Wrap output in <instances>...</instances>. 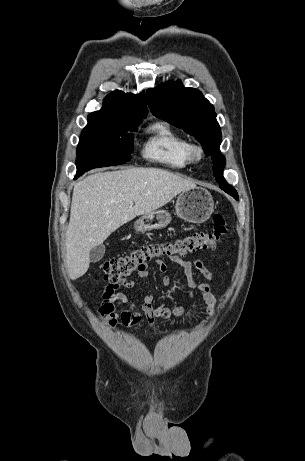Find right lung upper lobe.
<instances>
[{
    "label": "right lung upper lobe",
    "instance_id": "cb5924a9",
    "mask_svg": "<svg viewBox=\"0 0 305 461\" xmlns=\"http://www.w3.org/2000/svg\"><path fill=\"white\" fill-rule=\"evenodd\" d=\"M148 113L145 93L125 94L116 90L104 99L101 110L93 112L89 118L115 121H142Z\"/></svg>",
    "mask_w": 305,
    "mask_h": 461
}]
</instances>
